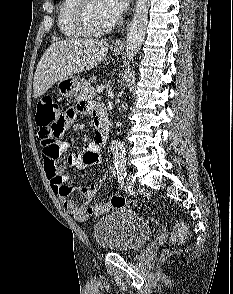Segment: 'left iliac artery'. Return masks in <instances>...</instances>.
<instances>
[{
    "label": "left iliac artery",
    "mask_w": 233,
    "mask_h": 294,
    "mask_svg": "<svg viewBox=\"0 0 233 294\" xmlns=\"http://www.w3.org/2000/svg\"><path fill=\"white\" fill-rule=\"evenodd\" d=\"M116 165V170H117V177H118V183L121 187L124 186V181L127 175L126 171V162H119ZM128 192V191H126Z\"/></svg>",
    "instance_id": "1"
}]
</instances>
